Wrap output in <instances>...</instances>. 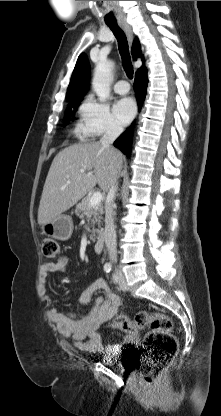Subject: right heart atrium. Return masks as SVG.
Returning a JSON list of instances; mask_svg holds the SVG:
<instances>
[{"instance_id": "d8ad5b80", "label": "right heart atrium", "mask_w": 221, "mask_h": 416, "mask_svg": "<svg viewBox=\"0 0 221 416\" xmlns=\"http://www.w3.org/2000/svg\"><path fill=\"white\" fill-rule=\"evenodd\" d=\"M78 113V132L83 137L96 138L105 134L117 136L122 132V127L109 106L91 94L84 98Z\"/></svg>"}]
</instances>
